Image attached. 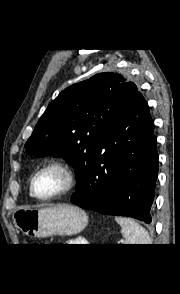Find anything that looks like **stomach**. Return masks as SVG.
Returning a JSON list of instances; mask_svg holds the SVG:
<instances>
[{
    "instance_id": "1",
    "label": "stomach",
    "mask_w": 180,
    "mask_h": 294,
    "mask_svg": "<svg viewBox=\"0 0 180 294\" xmlns=\"http://www.w3.org/2000/svg\"><path fill=\"white\" fill-rule=\"evenodd\" d=\"M15 226L32 238L53 235L72 236L81 232L88 223L85 211L73 205L46 208H20L13 214Z\"/></svg>"
}]
</instances>
